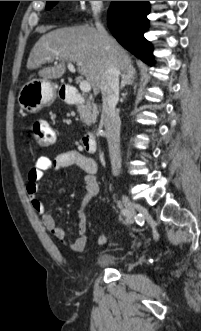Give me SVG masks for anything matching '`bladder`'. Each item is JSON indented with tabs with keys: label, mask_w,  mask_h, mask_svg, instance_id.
Instances as JSON below:
<instances>
[{
	"label": "bladder",
	"mask_w": 201,
	"mask_h": 331,
	"mask_svg": "<svg viewBox=\"0 0 201 331\" xmlns=\"http://www.w3.org/2000/svg\"><path fill=\"white\" fill-rule=\"evenodd\" d=\"M122 258L113 253H101L92 262L94 268H114L120 266Z\"/></svg>",
	"instance_id": "obj_1"
}]
</instances>
